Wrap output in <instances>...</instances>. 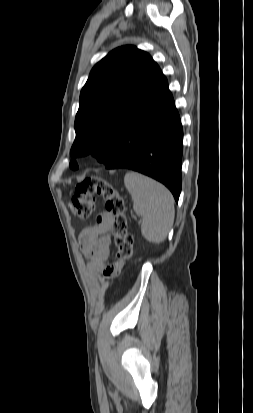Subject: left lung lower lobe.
<instances>
[{
	"label": "left lung lower lobe",
	"instance_id": "left-lung-lower-lobe-1",
	"mask_svg": "<svg viewBox=\"0 0 253 413\" xmlns=\"http://www.w3.org/2000/svg\"><path fill=\"white\" fill-rule=\"evenodd\" d=\"M182 139L180 116L165 78L141 112L124 122L118 154L106 168L148 175L167 186L178 202Z\"/></svg>",
	"mask_w": 253,
	"mask_h": 413
}]
</instances>
